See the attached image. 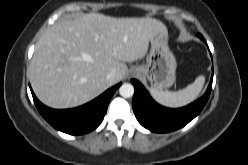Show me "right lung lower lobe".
Returning <instances> with one entry per match:
<instances>
[{"label": "right lung lower lobe", "instance_id": "obj_1", "mask_svg": "<svg viewBox=\"0 0 248 165\" xmlns=\"http://www.w3.org/2000/svg\"><path fill=\"white\" fill-rule=\"evenodd\" d=\"M120 85L121 83L108 89L102 95L83 106L66 110H55L46 107L36 98L31 87L30 89L34 103L46 121L59 131L71 135H80L88 133L99 126L106 114L112 95Z\"/></svg>", "mask_w": 248, "mask_h": 165}]
</instances>
